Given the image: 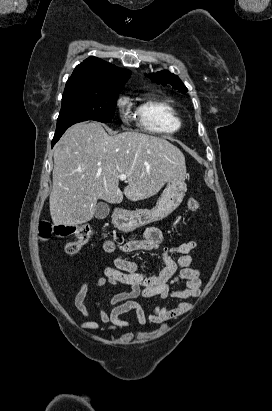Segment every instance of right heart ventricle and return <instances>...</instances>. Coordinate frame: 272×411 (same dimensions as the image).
<instances>
[{"label": "right heart ventricle", "instance_id": "e07e8e85", "mask_svg": "<svg viewBox=\"0 0 272 411\" xmlns=\"http://www.w3.org/2000/svg\"><path fill=\"white\" fill-rule=\"evenodd\" d=\"M135 112L141 126L152 133L170 134L182 126L177 111L170 104L153 97L144 98Z\"/></svg>", "mask_w": 272, "mask_h": 411}]
</instances>
